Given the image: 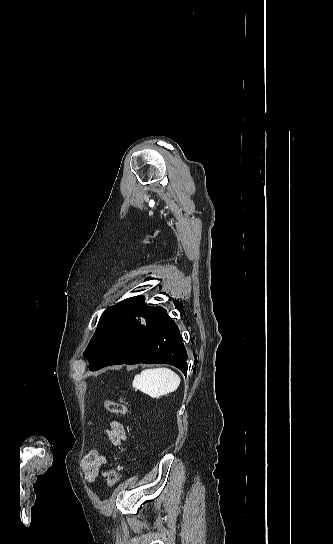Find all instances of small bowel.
<instances>
[{
    "label": "small bowel",
    "mask_w": 333,
    "mask_h": 544,
    "mask_svg": "<svg viewBox=\"0 0 333 544\" xmlns=\"http://www.w3.org/2000/svg\"><path fill=\"white\" fill-rule=\"evenodd\" d=\"M106 434L109 441L115 446H120L126 439L125 429L123 425L117 421L110 423L109 428L106 430ZM106 462V457L101 455L97 449L90 450L81 463L85 480L88 483L93 482L98 476L100 468L105 465Z\"/></svg>",
    "instance_id": "1"
}]
</instances>
